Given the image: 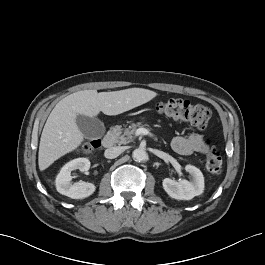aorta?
Returning a JSON list of instances; mask_svg holds the SVG:
<instances>
[{
    "mask_svg": "<svg viewBox=\"0 0 265 265\" xmlns=\"http://www.w3.org/2000/svg\"><path fill=\"white\" fill-rule=\"evenodd\" d=\"M132 157L135 161L137 162H142V161H145L147 160L148 158V155H147V152L142 149V148H137L133 151L132 153Z\"/></svg>",
    "mask_w": 265,
    "mask_h": 265,
    "instance_id": "1",
    "label": "aorta"
}]
</instances>
